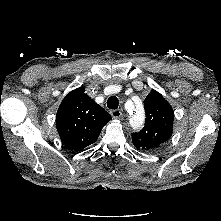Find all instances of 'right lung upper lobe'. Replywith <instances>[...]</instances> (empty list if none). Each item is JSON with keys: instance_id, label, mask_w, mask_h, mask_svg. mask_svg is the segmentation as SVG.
I'll list each match as a JSON object with an SVG mask.
<instances>
[{"instance_id": "obj_1", "label": "right lung upper lobe", "mask_w": 221, "mask_h": 221, "mask_svg": "<svg viewBox=\"0 0 221 221\" xmlns=\"http://www.w3.org/2000/svg\"><path fill=\"white\" fill-rule=\"evenodd\" d=\"M111 116L80 87L71 91L61 102L56 126L62 142L72 150L94 143Z\"/></svg>"}]
</instances>
